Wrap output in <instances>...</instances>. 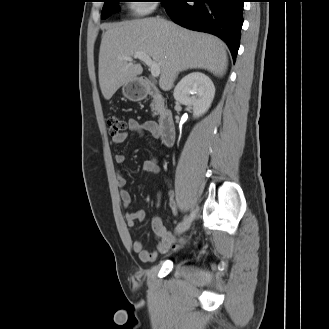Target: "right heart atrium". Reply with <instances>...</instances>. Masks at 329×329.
<instances>
[{"instance_id":"obj_1","label":"right heart atrium","mask_w":329,"mask_h":329,"mask_svg":"<svg viewBox=\"0 0 329 329\" xmlns=\"http://www.w3.org/2000/svg\"><path fill=\"white\" fill-rule=\"evenodd\" d=\"M130 3V8L134 14L140 15L149 12L153 9V1L151 0H133Z\"/></svg>"}]
</instances>
